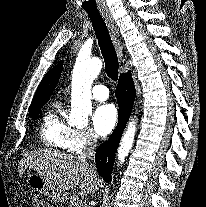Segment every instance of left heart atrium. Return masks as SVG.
I'll use <instances>...</instances> for the list:
<instances>
[{
    "label": "left heart atrium",
    "instance_id": "39dd6f15",
    "mask_svg": "<svg viewBox=\"0 0 206 207\" xmlns=\"http://www.w3.org/2000/svg\"><path fill=\"white\" fill-rule=\"evenodd\" d=\"M117 110L113 104L106 103L96 108L92 122L95 132L99 136L108 135L116 125Z\"/></svg>",
    "mask_w": 206,
    "mask_h": 207
}]
</instances>
